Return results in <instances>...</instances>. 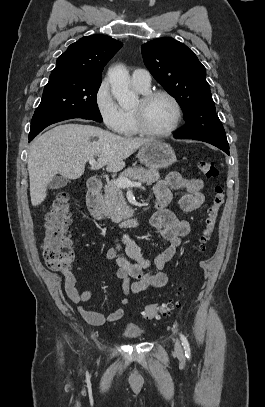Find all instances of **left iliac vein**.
Masks as SVG:
<instances>
[{
	"mask_svg": "<svg viewBox=\"0 0 265 407\" xmlns=\"http://www.w3.org/2000/svg\"><path fill=\"white\" fill-rule=\"evenodd\" d=\"M174 343H175L174 349H175V352H176L177 356L182 357L183 352H182V348H181V345H180L179 341L175 339Z\"/></svg>",
	"mask_w": 265,
	"mask_h": 407,
	"instance_id": "4c4485c4",
	"label": "left iliac vein"
}]
</instances>
